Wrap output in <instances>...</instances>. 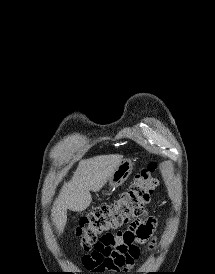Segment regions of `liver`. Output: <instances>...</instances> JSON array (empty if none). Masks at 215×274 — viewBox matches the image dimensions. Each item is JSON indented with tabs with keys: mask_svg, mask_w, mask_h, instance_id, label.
<instances>
[{
	"mask_svg": "<svg viewBox=\"0 0 215 274\" xmlns=\"http://www.w3.org/2000/svg\"><path fill=\"white\" fill-rule=\"evenodd\" d=\"M122 160L121 155L112 154L79 162L73 177L64 183L53 204L51 216L59 234L66 225L67 209L85 210L92 201L90 191H100Z\"/></svg>",
	"mask_w": 215,
	"mask_h": 274,
	"instance_id": "obj_1",
	"label": "liver"
}]
</instances>
